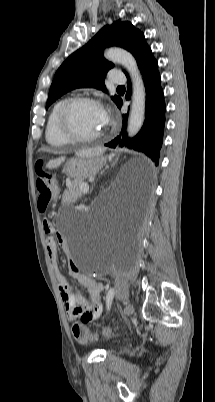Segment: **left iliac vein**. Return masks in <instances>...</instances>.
Instances as JSON below:
<instances>
[{"label": "left iliac vein", "instance_id": "1", "mask_svg": "<svg viewBox=\"0 0 215 402\" xmlns=\"http://www.w3.org/2000/svg\"><path fill=\"white\" fill-rule=\"evenodd\" d=\"M133 312H134V306H133V304L129 303V304L125 307V309H124L122 315H123V316H129V315H131Z\"/></svg>", "mask_w": 215, "mask_h": 402}]
</instances>
